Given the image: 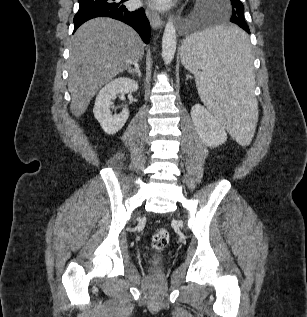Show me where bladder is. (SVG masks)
<instances>
[{"mask_svg":"<svg viewBox=\"0 0 307 317\" xmlns=\"http://www.w3.org/2000/svg\"><path fill=\"white\" fill-rule=\"evenodd\" d=\"M165 263V259L161 256L155 257L153 259L150 260L149 264L152 267H161L163 266Z\"/></svg>","mask_w":307,"mask_h":317,"instance_id":"bladder-1","label":"bladder"}]
</instances>
